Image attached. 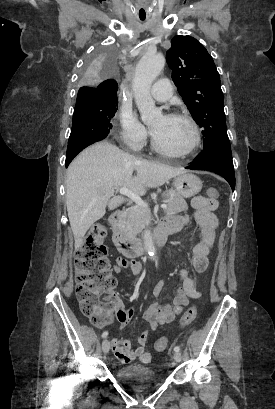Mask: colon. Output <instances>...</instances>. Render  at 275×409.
<instances>
[{
  "mask_svg": "<svg viewBox=\"0 0 275 409\" xmlns=\"http://www.w3.org/2000/svg\"><path fill=\"white\" fill-rule=\"evenodd\" d=\"M216 189H209L207 196L211 201L218 198ZM106 228L103 222H96L85 235L83 242L76 250V297L80 309L93 325H107L113 311L121 306V300L113 292L117 285L116 279L110 274L111 261L107 257V246L104 243ZM197 316L195 306L189 307L181 321L180 327L191 324ZM168 339L162 338L155 342V351H164Z\"/></svg>",
  "mask_w": 275,
  "mask_h": 409,
  "instance_id": "obj_1",
  "label": "colon"
}]
</instances>
